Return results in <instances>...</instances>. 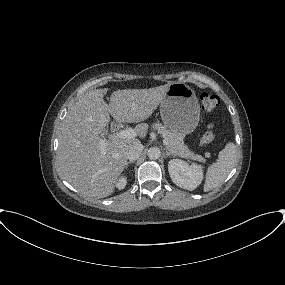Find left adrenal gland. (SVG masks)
<instances>
[{
  "label": "left adrenal gland",
  "instance_id": "obj_1",
  "mask_svg": "<svg viewBox=\"0 0 285 285\" xmlns=\"http://www.w3.org/2000/svg\"><path fill=\"white\" fill-rule=\"evenodd\" d=\"M165 153L167 156L173 155L171 152H169L168 150H165Z\"/></svg>",
  "mask_w": 285,
  "mask_h": 285
}]
</instances>
